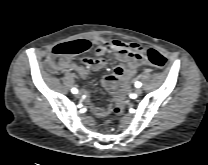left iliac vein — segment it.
Here are the masks:
<instances>
[{"mask_svg":"<svg viewBox=\"0 0 208 165\" xmlns=\"http://www.w3.org/2000/svg\"><path fill=\"white\" fill-rule=\"evenodd\" d=\"M135 94H136V95H141V94H142V89L136 88V89H135Z\"/></svg>","mask_w":208,"mask_h":165,"instance_id":"obj_1","label":"left iliac vein"}]
</instances>
